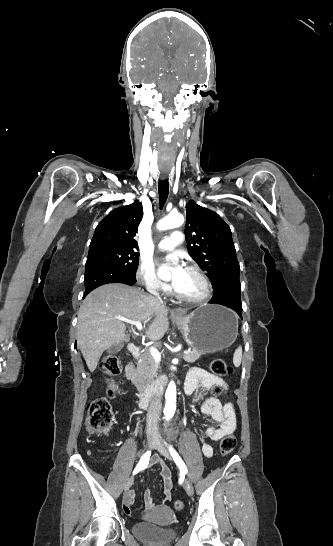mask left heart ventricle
Segmentation results:
<instances>
[{"label": "left heart ventricle", "instance_id": "left-heart-ventricle-1", "mask_svg": "<svg viewBox=\"0 0 333 546\" xmlns=\"http://www.w3.org/2000/svg\"><path fill=\"white\" fill-rule=\"evenodd\" d=\"M178 292L187 297H197L203 294L204 285L195 273L187 270L186 279Z\"/></svg>", "mask_w": 333, "mask_h": 546}]
</instances>
